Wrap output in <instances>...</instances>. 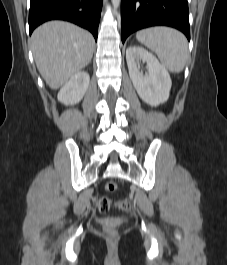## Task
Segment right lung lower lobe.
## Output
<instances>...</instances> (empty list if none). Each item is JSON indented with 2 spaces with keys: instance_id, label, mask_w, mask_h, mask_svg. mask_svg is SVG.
Instances as JSON below:
<instances>
[{
  "instance_id": "obj_1",
  "label": "right lung lower lobe",
  "mask_w": 227,
  "mask_h": 265,
  "mask_svg": "<svg viewBox=\"0 0 227 265\" xmlns=\"http://www.w3.org/2000/svg\"><path fill=\"white\" fill-rule=\"evenodd\" d=\"M103 0H31L30 34L41 23L61 19L88 29L97 40Z\"/></svg>"
}]
</instances>
